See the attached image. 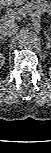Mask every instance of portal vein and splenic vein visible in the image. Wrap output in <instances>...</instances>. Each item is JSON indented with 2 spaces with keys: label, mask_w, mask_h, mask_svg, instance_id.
Wrapping results in <instances>:
<instances>
[{
  "label": "portal vein and splenic vein",
  "mask_w": 51,
  "mask_h": 153,
  "mask_svg": "<svg viewBox=\"0 0 51 153\" xmlns=\"http://www.w3.org/2000/svg\"><path fill=\"white\" fill-rule=\"evenodd\" d=\"M40 13L43 12V11H39ZM26 14L22 11H12L10 12L9 14L5 15V19H8V20H20L21 18L25 17Z\"/></svg>",
  "instance_id": "1"
}]
</instances>
